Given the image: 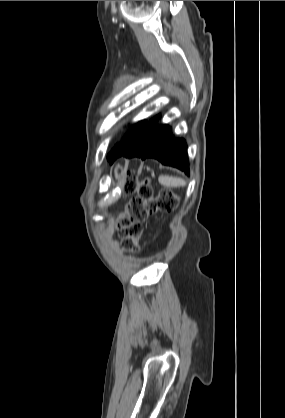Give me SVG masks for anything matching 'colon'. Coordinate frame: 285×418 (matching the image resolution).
<instances>
[{"mask_svg": "<svg viewBox=\"0 0 285 418\" xmlns=\"http://www.w3.org/2000/svg\"><path fill=\"white\" fill-rule=\"evenodd\" d=\"M124 191L128 195L137 192V200H132L118 218L117 227L120 232L118 245L124 250L138 253L142 221L157 211H171L176 206L178 198L170 190H163L155 196L147 182L136 187L133 181H127L124 184Z\"/></svg>", "mask_w": 285, "mask_h": 418, "instance_id": "colon-1", "label": "colon"}]
</instances>
